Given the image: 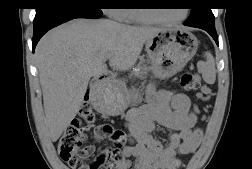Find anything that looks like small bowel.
Masks as SVG:
<instances>
[{
  "mask_svg": "<svg viewBox=\"0 0 252 169\" xmlns=\"http://www.w3.org/2000/svg\"><path fill=\"white\" fill-rule=\"evenodd\" d=\"M196 121L187 94L150 86L147 104L128 111L126 134H123L128 145L122 149H110L108 168L130 169L131 158H134V169H179L181 161L178 155L195 151L201 142L202 131L194 128ZM155 125L172 131L166 146L153 135ZM87 129L93 130L95 126L87 125Z\"/></svg>",
  "mask_w": 252,
  "mask_h": 169,
  "instance_id": "small-bowel-1",
  "label": "small bowel"
}]
</instances>
